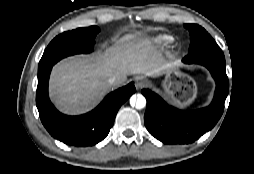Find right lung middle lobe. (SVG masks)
I'll use <instances>...</instances> for the list:
<instances>
[{"label": "right lung middle lobe", "mask_w": 254, "mask_h": 174, "mask_svg": "<svg viewBox=\"0 0 254 174\" xmlns=\"http://www.w3.org/2000/svg\"><path fill=\"white\" fill-rule=\"evenodd\" d=\"M99 31L97 26H91L67 31L55 37L45 49L39 62L38 75L64 57L92 52L94 38Z\"/></svg>", "instance_id": "1"}]
</instances>
